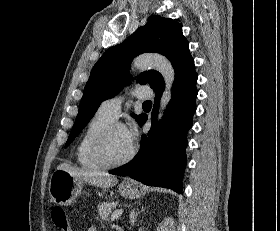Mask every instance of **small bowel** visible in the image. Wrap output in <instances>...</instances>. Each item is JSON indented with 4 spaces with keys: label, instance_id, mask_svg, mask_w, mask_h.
Here are the masks:
<instances>
[{
    "label": "small bowel",
    "instance_id": "obj_1",
    "mask_svg": "<svg viewBox=\"0 0 280 231\" xmlns=\"http://www.w3.org/2000/svg\"><path fill=\"white\" fill-rule=\"evenodd\" d=\"M96 229L94 227L89 228V231H95Z\"/></svg>",
    "mask_w": 280,
    "mask_h": 231
}]
</instances>
